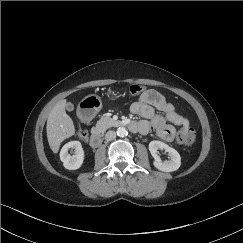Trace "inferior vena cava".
<instances>
[{"instance_id":"1","label":"inferior vena cava","mask_w":243,"mask_h":243,"mask_svg":"<svg viewBox=\"0 0 243 243\" xmlns=\"http://www.w3.org/2000/svg\"><path fill=\"white\" fill-rule=\"evenodd\" d=\"M116 138V133L115 131H108L106 134H105V139L106 141H111V140H114Z\"/></svg>"}]
</instances>
